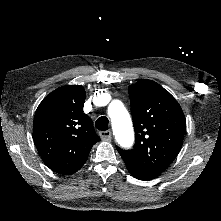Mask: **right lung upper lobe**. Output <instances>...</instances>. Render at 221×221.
Here are the masks:
<instances>
[{"label": "right lung upper lobe", "instance_id": "cb5924a9", "mask_svg": "<svg viewBox=\"0 0 221 221\" xmlns=\"http://www.w3.org/2000/svg\"><path fill=\"white\" fill-rule=\"evenodd\" d=\"M85 97L83 87L67 85L47 95L37 108L33 140L44 163L59 174L78 171L100 140L83 113Z\"/></svg>", "mask_w": 221, "mask_h": 221}]
</instances>
